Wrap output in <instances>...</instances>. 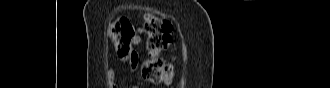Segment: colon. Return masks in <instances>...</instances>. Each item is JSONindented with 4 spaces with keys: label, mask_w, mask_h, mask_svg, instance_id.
<instances>
[{
    "label": "colon",
    "mask_w": 330,
    "mask_h": 88,
    "mask_svg": "<svg viewBox=\"0 0 330 88\" xmlns=\"http://www.w3.org/2000/svg\"><path fill=\"white\" fill-rule=\"evenodd\" d=\"M143 30L147 36L145 43L147 58L142 63L141 76L152 84H169L173 77V66L161 57V53L172 41V23L157 15L149 14L144 19ZM135 34V27L125 18H119L111 23L108 37L118 57L131 56L132 39Z\"/></svg>",
    "instance_id": "obj_1"
}]
</instances>
